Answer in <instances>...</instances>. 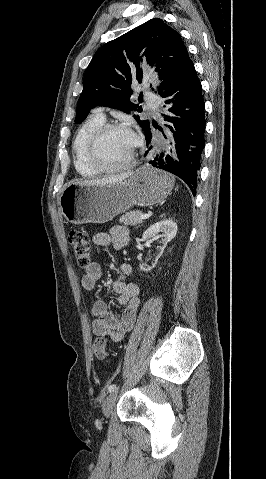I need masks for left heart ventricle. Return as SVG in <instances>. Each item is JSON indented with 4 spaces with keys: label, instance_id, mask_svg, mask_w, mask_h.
Masks as SVG:
<instances>
[{
    "label": "left heart ventricle",
    "instance_id": "1",
    "mask_svg": "<svg viewBox=\"0 0 266 479\" xmlns=\"http://www.w3.org/2000/svg\"><path fill=\"white\" fill-rule=\"evenodd\" d=\"M134 137L123 130H113L106 133L97 147V159L105 166H116L123 163L129 156Z\"/></svg>",
    "mask_w": 266,
    "mask_h": 479
}]
</instances>
